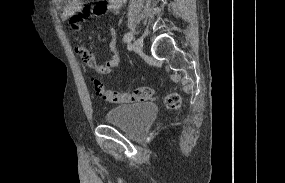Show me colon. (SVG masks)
Returning a JSON list of instances; mask_svg holds the SVG:
<instances>
[{"instance_id":"5ec220e1","label":"colon","mask_w":285,"mask_h":183,"mask_svg":"<svg viewBox=\"0 0 285 183\" xmlns=\"http://www.w3.org/2000/svg\"><path fill=\"white\" fill-rule=\"evenodd\" d=\"M94 90L98 96L109 103H133L151 100L155 96V90L151 87H139L129 91H115L106 89L104 84L93 80ZM165 105L168 109L178 110L181 107L180 95L172 92L165 97Z\"/></svg>"}]
</instances>
